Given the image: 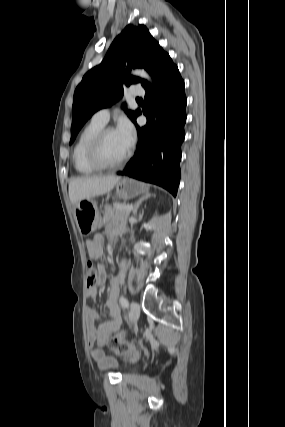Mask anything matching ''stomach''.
<instances>
[{"label": "stomach", "instance_id": "stomach-1", "mask_svg": "<svg viewBox=\"0 0 285 427\" xmlns=\"http://www.w3.org/2000/svg\"><path fill=\"white\" fill-rule=\"evenodd\" d=\"M149 187L130 178L120 179L116 184V195L120 199L128 200L141 194H147ZM113 208L105 206L104 211H99L93 200L81 201L75 206V217L79 230L91 233L113 220Z\"/></svg>", "mask_w": 285, "mask_h": 427}]
</instances>
